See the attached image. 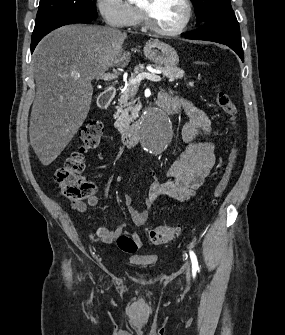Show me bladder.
Listing matches in <instances>:
<instances>
[{
    "label": "bladder",
    "instance_id": "31cf9c89",
    "mask_svg": "<svg viewBox=\"0 0 285 335\" xmlns=\"http://www.w3.org/2000/svg\"><path fill=\"white\" fill-rule=\"evenodd\" d=\"M128 265L150 267L151 265H157V258H128Z\"/></svg>",
    "mask_w": 285,
    "mask_h": 335
}]
</instances>
